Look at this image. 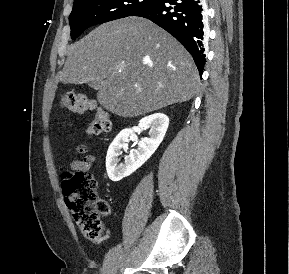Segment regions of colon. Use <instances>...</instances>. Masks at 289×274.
I'll use <instances>...</instances> for the list:
<instances>
[{
	"label": "colon",
	"instance_id": "1",
	"mask_svg": "<svg viewBox=\"0 0 289 274\" xmlns=\"http://www.w3.org/2000/svg\"><path fill=\"white\" fill-rule=\"evenodd\" d=\"M61 106L74 113L92 112L87 127L90 135L106 133L111 128L109 114L84 93L63 94ZM62 188L65 202L81 233L87 239H99L103 232L101 218L109 214V205L99 198L95 178L85 172L66 171L63 174Z\"/></svg>",
	"mask_w": 289,
	"mask_h": 274
}]
</instances>
